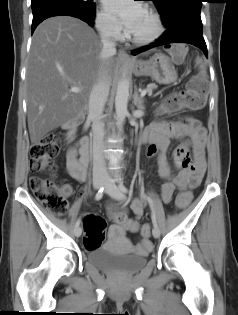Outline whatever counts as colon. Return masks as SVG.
Instances as JSON below:
<instances>
[{"mask_svg": "<svg viewBox=\"0 0 238 315\" xmlns=\"http://www.w3.org/2000/svg\"><path fill=\"white\" fill-rule=\"evenodd\" d=\"M166 49L172 59L180 63L187 54V48L180 44H169ZM206 103V81L201 66V71L190 81L186 90L171 94L164 104V109L169 111L186 109L191 111L200 110ZM58 137L54 133H48L40 138L31 148L30 164L31 169L37 174H54L57 170L55 158L59 149ZM29 186L36 199L48 210L56 214H65L69 204L55 183L50 179H43L39 176L30 178ZM191 194L184 192L176 197L177 209L186 208L191 201ZM111 214L117 224L123 225L127 222L126 212L120 206H113ZM84 238L83 243L86 249L99 247L104 239L106 230L105 220L94 214L84 217ZM151 228L144 224L141 228V235L149 238Z\"/></svg>", "mask_w": 238, "mask_h": 315, "instance_id": "1", "label": "colon"}]
</instances>
